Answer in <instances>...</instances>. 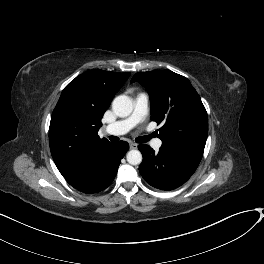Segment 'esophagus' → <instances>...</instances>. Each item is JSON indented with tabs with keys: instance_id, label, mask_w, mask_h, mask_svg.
<instances>
[{
	"instance_id": "34e87169",
	"label": "esophagus",
	"mask_w": 264,
	"mask_h": 264,
	"mask_svg": "<svg viewBox=\"0 0 264 264\" xmlns=\"http://www.w3.org/2000/svg\"><path fill=\"white\" fill-rule=\"evenodd\" d=\"M129 146H130V149H136L137 148V144H135V143H130Z\"/></svg>"
}]
</instances>
